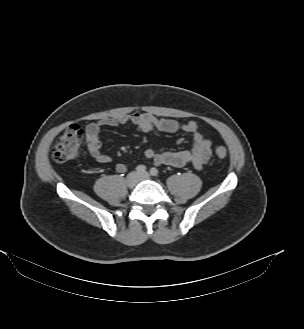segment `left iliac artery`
<instances>
[{"mask_svg":"<svg viewBox=\"0 0 304 329\" xmlns=\"http://www.w3.org/2000/svg\"><path fill=\"white\" fill-rule=\"evenodd\" d=\"M159 171L156 168H151L150 169V174L152 176H158Z\"/></svg>","mask_w":304,"mask_h":329,"instance_id":"left-iliac-artery-1","label":"left iliac artery"}]
</instances>
